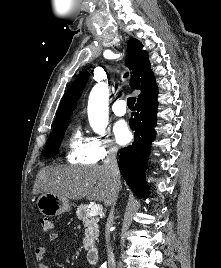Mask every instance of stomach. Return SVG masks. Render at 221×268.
<instances>
[{
  "mask_svg": "<svg viewBox=\"0 0 221 268\" xmlns=\"http://www.w3.org/2000/svg\"><path fill=\"white\" fill-rule=\"evenodd\" d=\"M36 205L44 216L55 217L71 209L68 199L52 193H41L36 201Z\"/></svg>",
  "mask_w": 221,
  "mask_h": 268,
  "instance_id": "1",
  "label": "stomach"
}]
</instances>
